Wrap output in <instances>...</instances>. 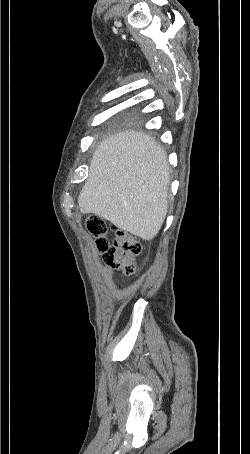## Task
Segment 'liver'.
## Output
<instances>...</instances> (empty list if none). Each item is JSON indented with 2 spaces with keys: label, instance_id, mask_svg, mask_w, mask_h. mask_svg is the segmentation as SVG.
I'll return each instance as SVG.
<instances>
[{
  "label": "liver",
  "instance_id": "6515ba94",
  "mask_svg": "<svg viewBox=\"0 0 250 454\" xmlns=\"http://www.w3.org/2000/svg\"><path fill=\"white\" fill-rule=\"evenodd\" d=\"M169 185L167 155L153 138L137 131L116 133L95 150L78 206L81 213L152 240L167 214Z\"/></svg>",
  "mask_w": 250,
  "mask_h": 454
}]
</instances>
